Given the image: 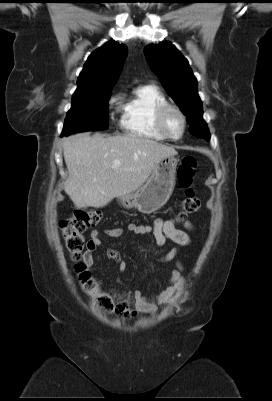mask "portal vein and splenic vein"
I'll use <instances>...</instances> for the list:
<instances>
[{"instance_id": "obj_1", "label": "portal vein and splenic vein", "mask_w": 272, "mask_h": 401, "mask_svg": "<svg viewBox=\"0 0 272 401\" xmlns=\"http://www.w3.org/2000/svg\"><path fill=\"white\" fill-rule=\"evenodd\" d=\"M120 165V161L119 160H115L113 161V167L117 168Z\"/></svg>"}]
</instances>
